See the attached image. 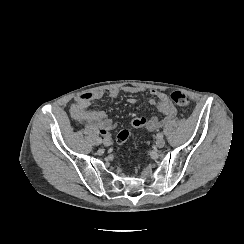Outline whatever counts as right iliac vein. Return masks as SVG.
Wrapping results in <instances>:
<instances>
[{
	"label": "right iliac vein",
	"mask_w": 244,
	"mask_h": 244,
	"mask_svg": "<svg viewBox=\"0 0 244 244\" xmlns=\"http://www.w3.org/2000/svg\"><path fill=\"white\" fill-rule=\"evenodd\" d=\"M103 143L105 146H110L112 143V140H111V138L107 137L104 139Z\"/></svg>",
	"instance_id": "63e3f726"
}]
</instances>
